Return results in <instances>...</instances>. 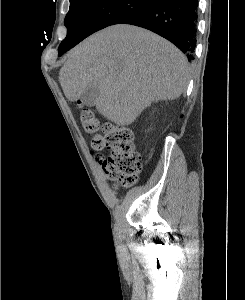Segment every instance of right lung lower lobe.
I'll return each mask as SVG.
<instances>
[{"label":"right lung lower lobe","mask_w":245,"mask_h":300,"mask_svg":"<svg viewBox=\"0 0 245 300\" xmlns=\"http://www.w3.org/2000/svg\"><path fill=\"white\" fill-rule=\"evenodd\" d=\"M197 5L198 0H153L120 24L136 25L159 34L191 61L196 47Z\"/></svg>","instance_id":"98d812e1"}]
</instances>
